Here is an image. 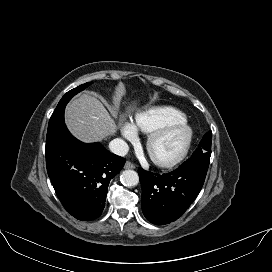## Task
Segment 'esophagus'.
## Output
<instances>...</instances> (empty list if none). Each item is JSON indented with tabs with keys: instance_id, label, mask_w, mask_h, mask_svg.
<instances>
[{
	"instance_id": "34e87169",
	"label": "esophagus",
	"mask_w": 272,
	"mask_h": 272,
	"mask_svg": "<svg viewBox=\"0 0 272 272\" xmlns=\"http://www.w3.org/2000/svg\"><path fill=\"white\" fill-rule=\"evenodd\" d=\"M124 168H125V169H135L136 166H135V164H133V163L127 161V162L125 163V165H124Z\"/></svg>"
}]
</instances>
